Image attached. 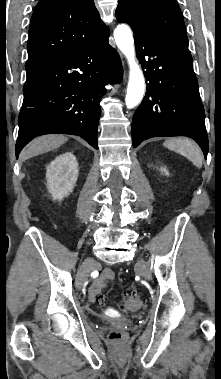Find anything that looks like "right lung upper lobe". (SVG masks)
Segmentation results:
<instances>
[{
  "instance_id": "obj_1",
  "label": "right lung upper lobe",
  "mask_w": 221,
  "mask_h": 379,
  "mask_svg": "<svg viewBox=\"0 0 221 379\" xmlns=\"http://www.w3.org/2000/svg\"><path fill=\"white\" fill-rule=\"evenodd\" d=\"M105 29L94 0H39L30 22L25 67L80 47Z\"/></svg>"
}]
</instances>
